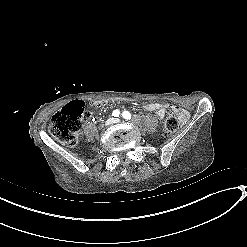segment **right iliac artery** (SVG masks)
Returning a JSON list of instances; mask_svg holds the SVG:
<instances>
[{
  "label": "right iliac artery",
  "instance_id": "right-iliac-artery-1",
  "mask_svg": "<svg viewBox=\"0 0 247 247\" xmlns=\"http://www.w3.org/2000/svg\"><path fill=\"white\" fill-rule=\"evenodd\" d=\"M119 114H120V112H119V110H117V109L114 110L113 113H112V115H113L114 117H118Z\"/></svg>",
  "mask_w": 247,
  "mask_h": 247
}]
</instances>
